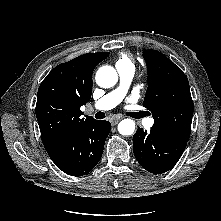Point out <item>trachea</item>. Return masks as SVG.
<instances>
[{
  "label": "trachea",
  "mask_w": 221,
  "mask_h": 221,
  "mask_svg": "<svg viewBox=\"0 0 221 221\" xmlns=\"http://www.w3.org/2000/svg\"><path fill=\"white\" fill-rule=\"evenodd\" d=\"M140 116H143V114H140ZM95 118L96 119H103V118H105V113L104 112H97L95 114Z\"/></svg>",
  "instance_id": "3493384b"
}]
</instances>
